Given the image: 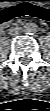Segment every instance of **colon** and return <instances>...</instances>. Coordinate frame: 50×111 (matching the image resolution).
I'll return each mask as SVG.
<instances>
[{
  "instance_id": "colon-1",
  "label": "colon",
  "mask_w": 50,
  "mask_h": 111,
  "mask_svg": "<svg viewBox=\"0 0 50 111\" xmlns=\"http://www.w3.org/2000/svg\"><path fill=\"white\" fill-rule=\"evenodd\" d=\"M22 17H34L43 21H50V10L37 4L24 2L3 9L0 14V24L6 25L12 20Z\"/></svg>"
}]
</instances>
